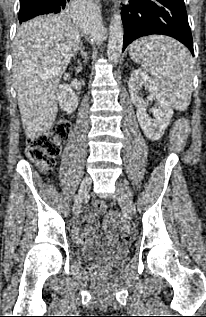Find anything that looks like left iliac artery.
Here are the masks:
<instances>
[{"mask_svg":"<svg viewBox=\"0 0 206 317\" xmlns=\"http://www.w3.org/2000/svg\"><path fill=\"white\" fill-rule=\"evenodd\" d=\"M126 190H127L128 194L131 195V191L127 188H126Z\"/></svg>","mask_w":206,"mask_h":317,"instance_id":"left-iliac-artery-1","label":"left iliac artery"}]
</instances>
